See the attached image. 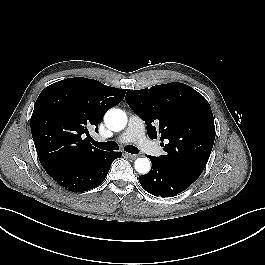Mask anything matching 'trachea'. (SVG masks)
I'll return each mask as SVG.
<instances>
[{"mask_svg":"<svg viewBox=\"0 0 265 265\" xmlns=\"http://www.w3.org/2000/svg\"><path fill=\"white\" fill-rule=\"evenodd\" d=\"M91 142L93 143L94 146L102 150L113 151L119 148L118 144L114 141L98 142L92 139ZM124 150L131 154H137L139 152V150L133 145L125 146Z\"/></svg>","mask_w":265,"mask_h":265,"instance_id":"3493384b","label":"trachea"}]
</instances>
